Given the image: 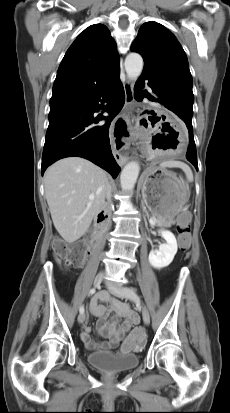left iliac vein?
<instances>
[{
	"mask_svg": "<svg viewBox=\"0 0 230 413\" xmlns=\"http://www.w3.org/2000/svg\"><path fill=\"white\" fill-rule=\"evenodd\" d=\"M107 288H108V290L111 294H113V295H115L119 298H127V299L133 300L135 302H138L140 304V307H141L143 321H144L145 324H149V322H150L149 311L146 308V306L140 301V299L138 298L137 295H135L134 293L128 291L125 288H123L121 286V284L108 283Z\"/></svg>",
	"mask_w": 230,
	"mask_h": 413,
	"instance_id": "obj_1",
	"label": "left iliac vein"
}]
</instances>
